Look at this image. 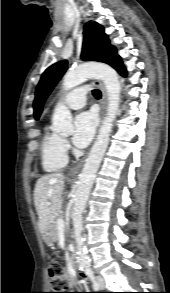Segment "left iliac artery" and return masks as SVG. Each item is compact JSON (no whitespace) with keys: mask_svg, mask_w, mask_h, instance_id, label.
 <instances>
[{"mask_svg":"<svg viewBox=\"0 0 170 293\" xmlns=\"http://www.w3.org/2000/svg\"><path fill=\"white\" fill-rule=\"evenodd\" d=\"M84 271H85V274H86V275L89 277V279L92 281L93 289H94V290H98V289H99V285H98V283L96 282V278H95V276H94V272H93L92 268H91V267H86V268L84 269Z\"/></svg>","mask_w":170,"mask_h":293,"instance_id":"1","label":"left iliac artery"}]
</instances>
